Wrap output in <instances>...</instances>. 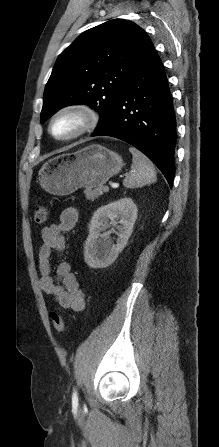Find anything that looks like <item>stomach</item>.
<instances>
[{
	"label": "stomach",
	"instance_id": "obj_1",
	"mask_svg": "<svg viewBox=\"0 0 219 447\" xmlns=\"http://www.w3.org/2000/svg\"><path fill=\"white\" fill-rule=\"evenodd\" d=\"M122 157L99 144L64 153L45 162L38 171L41 187L48 193L65 196L77 189L97 188L118 174Z\"/></svg>",
	"mask_w": 219,
	"mask_h": 447
}]
</instances>
